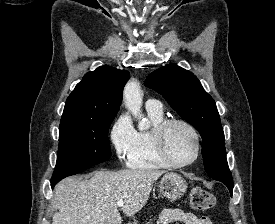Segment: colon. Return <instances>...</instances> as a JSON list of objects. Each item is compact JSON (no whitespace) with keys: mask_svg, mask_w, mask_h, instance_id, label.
<instances>
[{"mask_svg":"<svg viewBox=\"0 0 275 224\" xmlns=\"http://www.w3.org/2000/svg\"><path fill=\"white\" fill-rule=\"evenodd\" d=\"M189 197L191 207L199 211L211 209L216 202L215 196L211 192L199 186H193L191 188Z\"/></svg>","mask_w":275,"mask_h":224,"instance_id":"5ec220e1","label":"colon"}]
</instances>
